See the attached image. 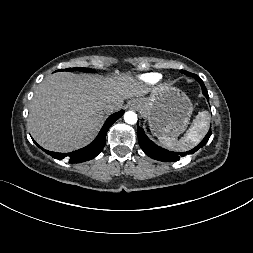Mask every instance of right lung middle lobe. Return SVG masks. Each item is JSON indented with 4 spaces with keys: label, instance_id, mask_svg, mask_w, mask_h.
Wrapping results in <instances>:
<instances>
[{
    "label": "right lung middle lobe",
    "instance_id": "right-lung-middle-lobe-1",
    "mask_svg": "<svg viewBox=\"0 0 253 253\" xmlns=\"http://www.w3.org/2000/svg\"><path fill=\"white\" fill-rule=\"evenodd\" d=\"M74 70L85 71V72H95L94 70L88 69V68H67V69H61L59 71H74Z\"/></svg>",
    "mask_w": 253,
    "mask_h": 253
}]
</instances>
